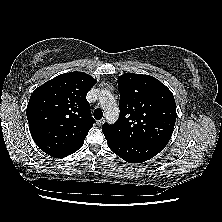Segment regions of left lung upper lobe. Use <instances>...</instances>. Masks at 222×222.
<instances>
[{
	"label": "left lung upper lobe",
	"instance_id": "5c2ea615",
	"mask_svg": "<svg viewBox=\"0 0 222 222\" xmlns=\"http://www.w3.org/2000/svg\"><path fill=\"white\" fill-rule=\"evenodd\" d=\"M118 121L103 124V132L131 142H169L176 122L172 92L149 75L125 73L118 78Z\"/></svg>",
	"mask_w": 222,
	"mask_h": 222
}]
</instances>
